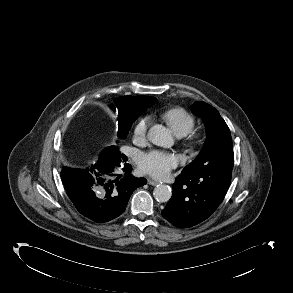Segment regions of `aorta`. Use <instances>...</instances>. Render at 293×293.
I'll return each mask as SVG.
<instances>
[{
	"instance_id": "1",
	"label": "aorta",
	"mask_w": 293,
	"mask_h": 293,
	"mask_svg": "<svg viewBox=\"0 0 293 293\" xmlns=\"http://www.w3.org/2000/svg\"><path fill=\"white\" fill-rule=\"evenodd\" d=\"M147 137L154 145L163 148H169L174 143L168 129L160 124L153 125L149 129ZM153 195L158 202H167L172 196V190L168 185H158L154 188Z\"/></svg>"
}]
</instances>
